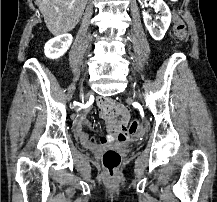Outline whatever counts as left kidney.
Listing matches in <instances>:
<instances>
[{
	"mask_svg": "<svg viewBox=\"0 0 217 202\" xmlns=\"http://www.w3.org/2000/svg\"><path fill=\"white\" fill-rule=\"evenodd\" d=\"M138 2L142 4V2H146V0H138ZM153 8L155 12H160L161 16L158 18L160 22L154 24V22H152V16H149L148 12H142L144 24L153 40H162L170 26L171 12L163 0H156ZM155 26H157V28H155Z\"/></svg>",
	"mask_w": 217,
	"mask_h": 202,
	"instance_id": "obj_1",
	"label": "left kidney"
}]
</instances>
